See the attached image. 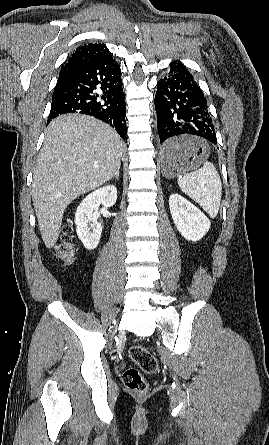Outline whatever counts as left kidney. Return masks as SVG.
Segmentation results:
<instances>
[{
	"label": "left kidney",
	"instance_id": "left-kidney-1",
	"mask_svg": "<svg viewBox=\"0 0 269 445\" xmlns=\"http://www.w3.org/2000/svg\"><path fill=\"white\" fill-rule=\"evenodd\" d=\"M169 208L177 230L188 241L196 242L209 231V219L181 195L170 196Z\"/></svg>",
	"mask_w": 269,
	"mask_h": 445
}]
</instances>
